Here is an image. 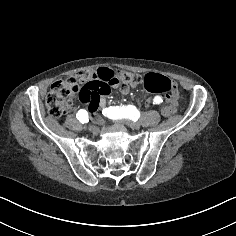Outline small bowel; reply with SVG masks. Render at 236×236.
Wrapping results in <instances>:
<instances>
[{
	"instance_id": "obj_1",
	"label": "small bowel",
	"mask_w": 236,
	"mask_h": 236,
	"mask_svg": "<svg viewBox=\"0 0 236 236\" xmlns=\"http://www.w3.org/2000/svg\"><path fill=\"white\" fill-rule=\"evenodd\" d=\"M128 91H129L128 87H125V88L122 89V93H123V94H127ZM162 102H163V99H162L161 96L153 97L152 99H149V100L147 101L148 104H153V105H159V104H161ZM98 106L101 107V109L104 108V107H106V100H105V99L100 100ZM98 106H97V107H98ZM97 107H96V108H97Z\"/></svg>"
}]
</instances>
